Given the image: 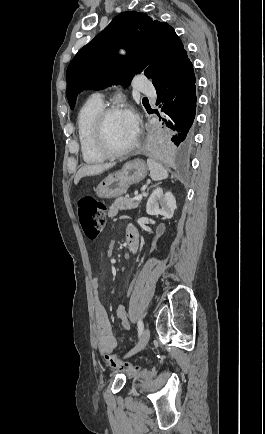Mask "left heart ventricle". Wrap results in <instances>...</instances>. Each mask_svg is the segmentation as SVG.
<instances>
[{"label": "left heart ventricle", "instance_id": "1", "mask_svg": "<svg viewBox=\"0 0 265 434\" xmlns=\"http://www.w3.org/2000/svg\"><path fill=\"white\" fill-rule=\"evenodd\" d=\"M108 143L114 150L129 148L136 139V134L128 127L121 113L113 115L108 122Z\"/></svg>", "mask_w": 265, "mask_h": 434}]
</instances>
